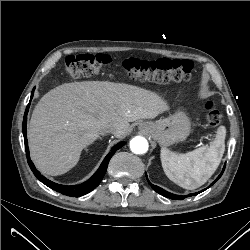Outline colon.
Returning a JSON list of instances; mask_svg holds the SVG:
<instances>
[{
  "instance_id": "1",
  "label": "colon",
  "mask_w": 250,
  "mask_h": 250,
  "mask_svg": "<svg viewBox=\"0 0 250 250\" xmlns=\"http://www.w3.org/2000/svg\"><path fill=\"white\" fill-rule=\"evenodd\" d=\"M111 64L112 59L109 55L82 53L71 55L66 59L65 71L73 78L92 77ZM121 66L131 78L155 83L188 81L195 72L191 61L169 58L152 61L126 58ZM207 122L212 128H217L221 123L220 112L210 103L207 105Z\"/></svg>"
}]
</instances>
